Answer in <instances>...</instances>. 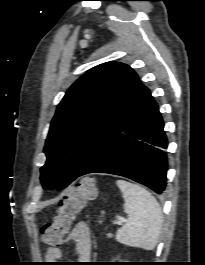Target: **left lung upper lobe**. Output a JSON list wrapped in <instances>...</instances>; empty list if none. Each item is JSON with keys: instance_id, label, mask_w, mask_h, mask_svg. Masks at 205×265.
Wrapping results in <instances>:
<instances>
[{"instance_id": "5c2ea615", "label": "left lung upper lobe", "mask_w": 205, "mask_h": 265, "mask_svg": "<svg viewBox=\"0 0 205 265\" xmlns=\"http://www.w3.org/2000/svg\"><path fill=\"white\" fill-rule=\"evenodd\" d=\"M147 88L128 65L107 62L90 69L66 92L51 122L41 168L45 189H63L118 130Z\"/></svg>"}]
</instances>
